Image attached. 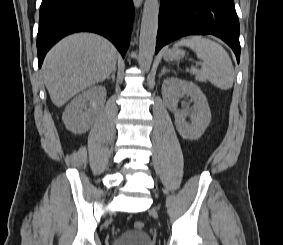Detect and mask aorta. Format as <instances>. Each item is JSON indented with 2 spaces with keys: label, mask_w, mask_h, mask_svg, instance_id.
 Segmentation results:
<instances>
[{
  "label": "aorta",
  "mask_w": 283,
  "mask_h": 245,
  "mask_svg": "<svg viewBox=\"0 0 283 245\" xmlns=\"http://www.w3.org/2000/svg\"><path fill=\"white\" fill-rule=\"evenodd\" d=\"M158 15V0H145L139 39V65L144 71L150 69L155 53Z\"/></svg>",
  "instance_id": "1"
}]
</instances>
